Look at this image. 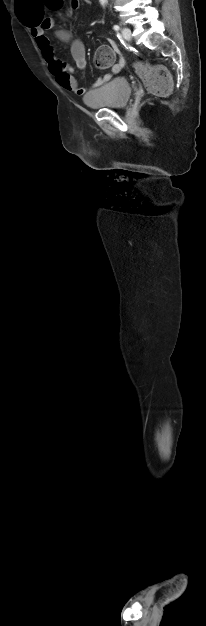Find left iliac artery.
I'll list each match as a JSON object with an SVG mask.
<instances>
[{
	"label": "left iliac artery",
	"instance_id": "obj_1",
	"mask_svg": "<svg viewBox=\"0 0 206 626\" xmlns=\"http://www.w3.org/2000/svg\"><path fill=\"white\" fill-rule=\"evenodd\" d=\"M113 29H114L115 31H118V30L120 29V27H119L118 25H114V26H113Z\"/></svg>",
	"mask_w": 206,
	"mask_h": 626
}]
</instances>
